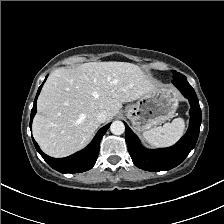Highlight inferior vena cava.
<instances>
[{"label":"inferior vena cava","mask_w":224,"mask_h":224,"mask_svg":"<svg viewBox=\"0 0 224 224\" xmlns=\"http://www.w3.org/2000/svg\"><path fill=\"white\" fill-rule=\"evenodd\" d=\"M97 121L100 122V123H104L105 121L108 120V113L106 110H100L98 113H97Z\"/></svg>","instance_id":"602c4592"}]
</instances>
